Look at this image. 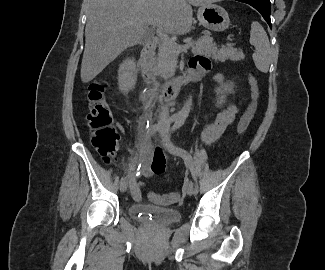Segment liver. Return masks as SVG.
I'll return each mask as SVG.
<instances>
[{"instance_id":"obj_1","label":"liver","mask_w":325,"mask_h":270,"mask_svg":"<svg viewBox=\"0 0 325 270\" xmlns=\"http://www.w3.org/2000/svg\"><path fill=\"white\" fill-rule=\"evenodd\" d=\"M213 0H88L81 80L88 83L128 47L147 38L149 26L164 33H189L191 5Z\"/></svg>"}]
</instances>
